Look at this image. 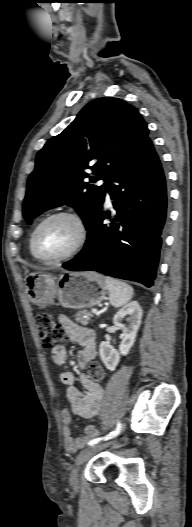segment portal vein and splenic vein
I'll return each mask as SVG.
<instances>
[{"mask_svg": "<svg viewBox=\"0 0 192 527\" xmlns=\"http://www.w3.org/2000/svg\"><path fill=\"white\" fill-rule=\"evenodd\" d=\"M92 313H93V314H97V313H98V310H97V309H92Z\"/></svg>", "mask_w": 192, "mask_h": 527, "instance_id": "obj_1", "label": "portal vein and splenic vein"}]
</instances>
